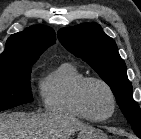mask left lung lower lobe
I'll list each match as a JSON object with an SVG mask.
<instances>
[{
    "instance_id": "obj_1",
    "label": "left lung lower lobe",
    "mask_w": 141,
    "mask_h": 139,
    "mask_svg": "<svg viewBox=\"0 0 141 139\" xmlns=\"http://www.w3.org/2000/svg\"><path fill=\"white\" fill-rule=\"evenodd\" d=\"M139 138H141V134L139 133V134H136Z\"/></svg>"
}]
</instances>
